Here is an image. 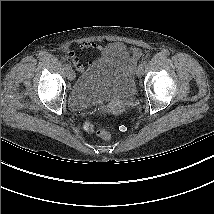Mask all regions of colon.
<instances>
[{"label":"colon","instance_id":"obj_1","mask_svg":"<svg viewBox=\"0 0 214 214\" xmlns=\"http://www.w3.org/2000/svg\"><path fill=\"white\" fill-rule=\"evenodd\" d=\"M88 129H90V125L86 126ZM96 135L100 138H102L103 140L109 141L111 139V134L110 132L105 129V128H100L96 131Z\"/></svg>","mask_w":214,"mask_h":214}]
</instances>
